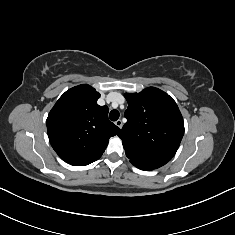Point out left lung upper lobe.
<instances>
[{
	"mask_svg": "<svg viewBox=\"0 0 235 235\" xmlns=\"http://www.w3.org/2000/svg\"><path fill=\"white\" fill-rule=\"evenodd\" d=\"M127 122L118 133L130 162L144 169L165 165L176 153L184 134L181 112L168 94L155 87L126 93Z\"/></svg>",
	"mask_w": 235,
	"mask_h": 235,
	"instance_id": "1",
	"label": "left lung upper lobe"
}]
</instances>
